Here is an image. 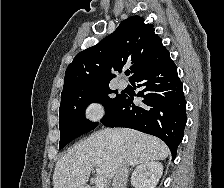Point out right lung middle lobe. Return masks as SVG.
Listing matches in <instances>:
<instances>
[{
    "mask_svg": "<svg viewBox=\"0 0 224 188\" xmlns=\"http://www.w3.org/2000/svg\"><path fill=\"white\" fill-rule=\"evenodd\" d=\"M112 93L117 94L118 92L111 90L109 85L61 93L59 149L97 126L98 123H92L85 118L84 111L87 105L92 102H100L104 105L106 114L101 122L113 111L122 101L124 94H117L116 97H112Z\"/></svg>",
    "mask_w": 224,
    "mask_h": 188,
    "instance_id": "right-lung-middle-lobe-1",
    "label": "right lung middle lobe"
}]
</instances>
